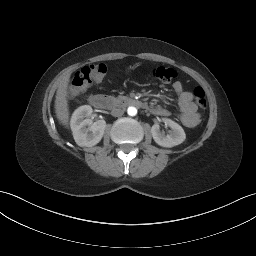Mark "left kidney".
Segmentation results:
<instances>
[{
	"label": "left kidney",
	"mask_w": 256,
	"mask_h": 256,
	"mask_svg": "<svg viewBox=\"0 0 256 256\" xmlns=\"http://www.w3.org/2000/svg\"><path fill=\"white\" fill-rule=\"evenodd\" d=\"M162 120L165 125L171 128V131L169 132V134L165 135V133L160 131L159 124L155 123L151 128V133L154 141L158 145L167 148H171L183 143L186 139V134L183 128L171 119L163 118Z\"/></svg>",
	"instance_id": "left-kidney-1"
}]
</instances>
